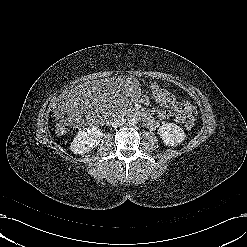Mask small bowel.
Returning a JSON list of instances; mask_svg holds the SVG:
<instances>
[{"label":"small bowel","mask_w":247,"mask_h":247,"mask_svg":"<svg viewBox=\"0 0 247 247\" xmlns=\"http://www.w3.org/2000/svg\"><path fill=\"white\" fill-rule=\"evenodd\" d=\"M157 86L159 85H157L156 83H152L150 87L151 89H153ZM143 101L146 103L147 99H144ZM159 104L170 106L175 111L174 117H175L176 122L178 123H183L187 118L189 119L191 117H194L196 119L197 112H196L195 107L188 102L176 100L173 97V95L170 100H162L161 102H159ZM170 117H171V113L166 110L160 112L159 114V118L161 120H166V119H169ZM147 124L150 128H156L158 126V121L155 118L151 117V122Z\"/></svg>","instance_id":"c3829d8e"}]
</instances>
